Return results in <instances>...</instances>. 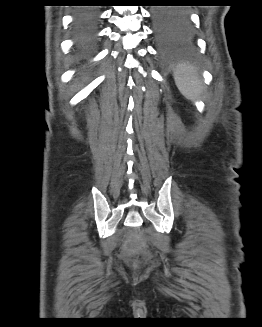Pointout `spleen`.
Listing matches in <instances>:
<instances>
[{
    "mask_svg": "<svg viewBox=\"0 0 262 327\" xmlns=\"http://www.w3.org/2000/svg\"><path fill=\"white\" fill-rule=\"evenodd\" d=\"M174 79L179 91L188 99L197 97L202 91L197 70L192 66L179 65L174 72Z\"/></svg>",
    "mask_w": 262,
    "mask_h": 327,
    "instance_id": "spleen-1",
    "label": "spleen"
}]
</instances>
